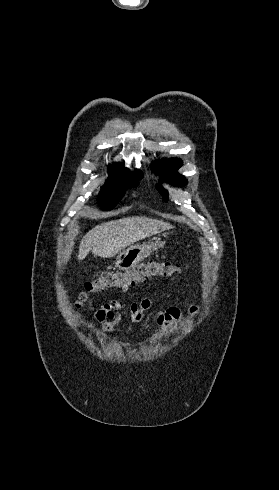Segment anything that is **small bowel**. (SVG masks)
<instances>
[{
	"label": "small bowel",
	"instance_id": "obj_1",
	"mask_svg": "<svg viewBox=\"0 0 279 490\" xmlns=\"http://www.w3.org/2000/svg\"><path fill=\"white\" fill-rule=\"evenodd\" d=\"M125 307L124 302L120 300H113L104 304L99 310H97L93 318L89 321L88 327L93 329L96 324H101L105 329H110L121 318V311ZM153 307V301L148 298L134 301L129 306L130 318L134 322H139L143 319L144 313ZM189 313L196 316L198 309L196 306H189ZM182 311L179 307L170 306L167 309L160 310L156 316V323L158 328L162 332L169 331L174 323L180 319Z\"/></svg>",
	"mask_w": 279,
	"mask_h": 490
}]
</instances>
